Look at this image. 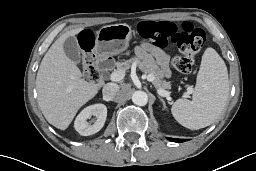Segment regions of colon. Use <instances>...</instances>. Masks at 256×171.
<instances>
[{"label": "colon", "instance_id": "colon-1", "mask_svg": "<svg viewBox=\"0 0 256 171\" xmlns=\"http://www.w3.org/2000/svg\"><path fill=\"white\" fill-rule=\"evenodd\" d=\"M140 36L150 45L158 49L176 44L180 55L173 60L174 68L183 74H189L197 54L205 44V32L196 28L192 23L183 21L179 24L171 21H142L138 25ZM82 49V70L87 79L97 81L100 70L96 66L93 53L94 35L89 30H83L79 35Z\"/></svg>", "mask_w": 256, "mask_h": 171}]
</instances>
